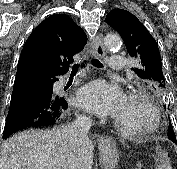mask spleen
<instances>
[{"instance_id": "spleen-1", "label": "spleen", "mask_w": 177, "mask_h": 169, "mask_svg": "<svg viewBox=\"0 0 177 169\" xmlns=\"http://www.w3.org/2000/svg\"><path fill=\"white\" fill-rule=\"evenodd\" d=\"M156 169H172L168 155L159 145L156 147Z\"/></svg>"}]
</instances>
